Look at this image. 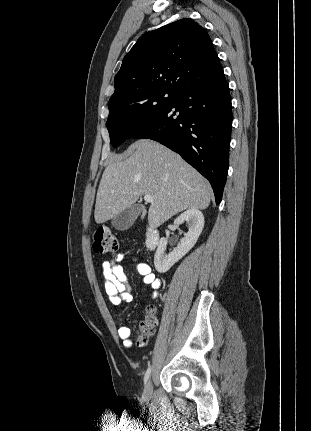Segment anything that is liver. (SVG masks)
Returning <instances> with one entry per match:
<instances>
[{
    "label": "liver",
    "instance_id": "liver-1",
    "mask_svg": "<svg viewBox=\"0 0 311 431\" xmlns=\"http://www.w3.org/2000/svg\"><path fill=\"white\" fill-rule=\"evenodd\" d=\"M140 196H152L149 227L156 229L183 210H206L212 190L208 180L179 154L153 140H138L105 168L97 190L94 219L105 223L131 208Z\"/></svg>",
    "mask_w": 311,
    "mask_h": 431
}]
</instances>
